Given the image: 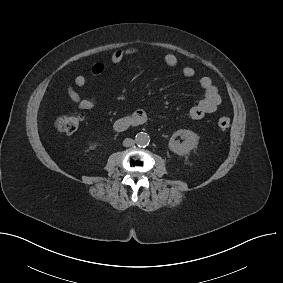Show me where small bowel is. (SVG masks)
<instances>
[{
	"label": "small bowel",
	"instance_id": "small-bowel-1",
	"mask_svg": "<svg viewBox=\"0 0 283 283\" xmlns=\"http://www.w3.org/2000/svg\"><path fill=\"white\" fill-rule=\"evenodd\" d=\"M137 47H128L126 49H121L113 52L110 56V63L117 65L123 61V59L129 55L138 53ZM164 63L169 67H176L178 65V58L172 53H166L163 56ZM106 70V66L97 62L94 63L90 71L93 75H102ZM182 74L186 78H193L195 76V70L186 66L182 69ZM88 83L87 78L84 75H77L74 78V85H69L67 87L68 94L70 98L78 105L80 109L90 110L95 107V100L92 98H82L77 92L76 87H84ZM199 86L203 92V98L190 109V117L194 120H200L206 115L214 113L220 106L222 99L217 87L213 84L209 77L203 76L199 79ZM136 118L142 119L145 122L147 114L144 110L138 109L133 113Z\"/></svg>",
	"mask_w": 283,
	"mask_h": 283
}]
</instances>
